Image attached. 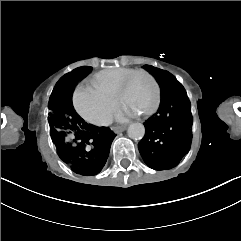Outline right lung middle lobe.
<instances>
[{"mask_svg":"<svg viewBox=\"0 0 241 241\" xmlns=\"http://www.w3.org/2000/svg\"><path fill=\"white\" fill-rule=\"evenodd\" d=\"M92 70L91 67H88ZM69 74V73H68ZM64 75L56 83L53 92L49 98L48 107L49 113V125L51 129V137L54 144L70 143L73 141V134L69 132L66 122L63 107L72 104V93L69 92L66 86V77Z\"/></svg>","mask_w":241,"mask_h":241,"instance_id":"dd1d6c3e","label":"right lung middle lobe"}]
</instances>
